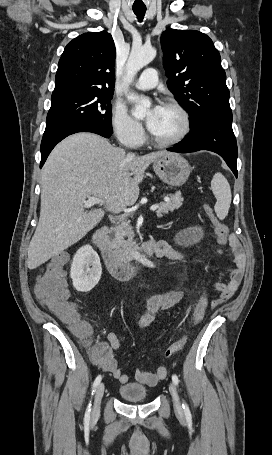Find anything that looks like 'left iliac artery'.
<instances>
[{"instance_id": "left-iliac-artery-1", "label": "left iliac artery", "mask_w": 272, "mask_h": 455, "mask_svg": "<svg viewBox=\"0 0 272 455\" xmlns=\"http://www.w3.org/2000/svg\"><path fill=\"white\" fill-rule=\"evenodd\" d=\"M172 380H173V382H174L175 385H178L179 379H178V376H177V375L173 374V375H172ZM182 407H183V410H184L185 415H186V416H189V415H190V410H189V407H188V405L186 404V402H183Z\"/></svg>"}]
</instances>
